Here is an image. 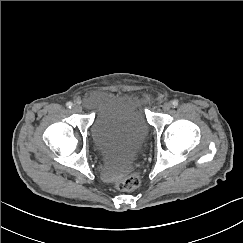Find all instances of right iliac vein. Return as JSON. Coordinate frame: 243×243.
Masks as SVG:
<instances>
[{
  "label": "right iliac vein",
  "instance_id": "1",
  "mask_svg": "<svg viewBox=\"0 0 243 243\" xmlns=\"http://www.w3.org/2000/svg\"><path fill=\"white\" fill-rule=\"evenodd\" d=\"M73 111L76 113H81L82 112V107L80 105H74L73 106Z\"/></svg>",
  "mask_w": 243,
  "mask_h": 243
}]
</instances>
